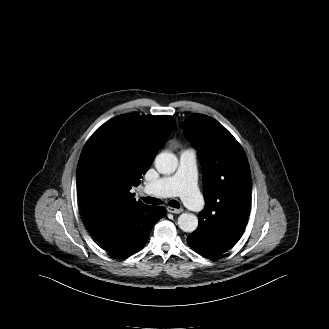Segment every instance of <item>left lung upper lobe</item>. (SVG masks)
<instances>
[{"label": "left lung upper lobe", "mask_w": 329, "mask_h": 329, "mask_svg": "<svg viewBox=\"0 0 329 329\" xmlns=\"http://www.w3.org/2000/svg\"><path fill=\"white\" fill-rule=\"evenodd\" d=\"M185 138L199 152L205 209L199 224L218 227L248 216L251 174L245 152L218 121L194 114L180 123ZM229 230L230 229H226Z\"/></svg>", "instance_id": "5c2ea615"}]
</instances>
